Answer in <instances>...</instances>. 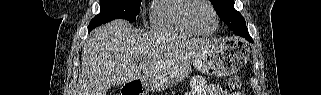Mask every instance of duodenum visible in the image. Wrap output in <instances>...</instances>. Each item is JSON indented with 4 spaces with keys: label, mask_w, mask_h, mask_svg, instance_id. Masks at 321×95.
Wrapping results in <instances>:
<instances>
[{
    "label": "duodenum",
    "mask_w": 321,
    "mask_h": 95,
    "mask_svg": "<svg viewBox=\"0 0 321 95\" xmlns=\"http://www.w3.org/2000/svg\"><path fill=\"white\" fill-rule=\"evenodd\" d=\"M138 84H139V85H142V84H143V81H142V80H139V81H138Z\"/></svg>",
    "instance_id": "obj_1"
}]
</instances>
